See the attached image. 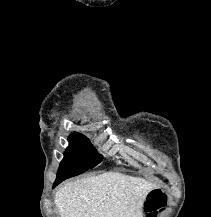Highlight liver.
Listing matches in <instances>:
<instances>
[{
	"mask_svg": "<svg viewBox=\"0 0 211 217\" xmlns=\"http://www.w3.org/2000/svg\"><path fill=\"white\" fill-rule=\"evenodd\" d=\"M157 186L117 172L68 182L55 194L61 217H143L147 195Z\"/></svg>",
	"mask_w": 211,
	"mask_h": 217,
	"instance_id": "1",
	"label": "liver"
}]
</instances>
